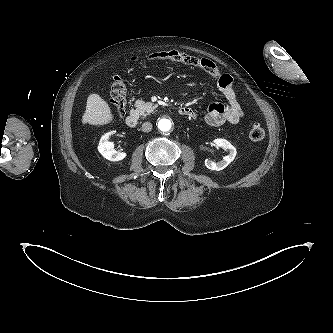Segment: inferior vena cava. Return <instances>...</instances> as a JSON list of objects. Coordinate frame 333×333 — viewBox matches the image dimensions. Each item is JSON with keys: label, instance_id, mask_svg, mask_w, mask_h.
Wrapping results in <instances>:
<instances>
[{"label": "inferior vena cava", "instance_id": "602c4592", "mask_svg": "<svg viewBox=\"0 0 333 333\" xmlns=\"http://www.w3.org/2000/svg\"><path fill=\"white\" fill-rule=\"evenodd\" d=\"M152 130V124L150 122H144L142 124V131L143 132H150Z\"/></svg>", "mask_w": 333, "mask_h": 333}]
</instances>
